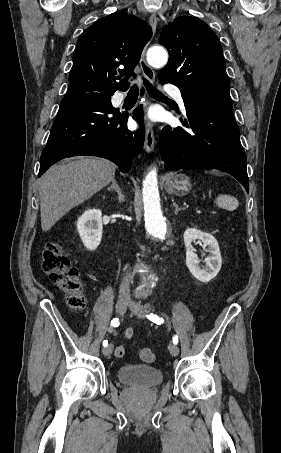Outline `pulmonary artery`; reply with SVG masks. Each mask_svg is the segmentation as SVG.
Wrapping results in <instances>:
<instances>
[{
    "label": "pulmonary artery",
    "instance_id": "e3ab8cb5",
    "mask_svg": "<svg viewBox=\"0 0 281 453\" xmlns=\"http://www.w3.org/2000/svg\"><path fill=\"white\" fill-rule=\"evenodd\" d=\"M170 95L181 105H183V97L181 91L179 89L172 90ZM125 96L122 92H116L112 96V103L113 104H120L124 100Z\"/></svg>",
    "mask_w": 281,
    "mask_h": 453
}]
</instances>
